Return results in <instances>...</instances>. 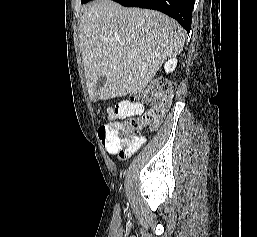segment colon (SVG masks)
<instances>
[{"instance_id": "1", "label": "colon", "mask_w": 257, "mask_h": 237, "mask_svg": "<svg viewBox=\"0 0 257 237\" xmlns=\"http://www.w3.org/2000/svg\"><path fill=\"white\" fill-rule=\"evenodd\" d=\"M173 91L174 85L165 81L156 82L146 88L139 96L150 107L142 117L116 121L113 127L109 124L100 125L98 135L103 146L122 147L130 141L129 137L133 132L156 128L170 105Z\"/></svg>"}]
</instances>
